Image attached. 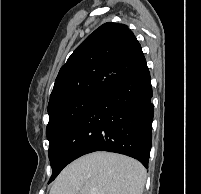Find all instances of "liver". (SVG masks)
<instances>
[{
	"label": "liver",
	"mask_w": 201,
	"mask_h": 194,
	"mask_svg": "<svg viewBox=\"0 0 201 194\" xmlns=\"http://www.w3.org/2000/svg\"><path fill=\"white\" fill-rule=\"evenodd\" d=\"M146 170L137 160L94 152L63 169L49 194H142Z\"/></svg>",
	"instance_id": "liver-1"
}]
</instances>
